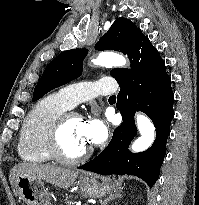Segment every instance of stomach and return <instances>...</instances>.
<instances>
[{
  "label": "stomach",
  "instance_id": "obj_1",
  "mask_svg": "<svg viewBox=\"0 0 199 205\" xmlns=\"http://www.w3.org/2000/svg\"><path fill=\"white\" fill-rule=\"evenodd\" d=\"M96 175H81L76 182L80 192L89 197L101 196L111 193L115 185L109 178H100ZM19 197L27 205H51L50 194L42 180L34 177L20 175L16 180Z\"/></svg>",
  "mask_w": 199,
  "mask_h": 205
}]
</instances>
